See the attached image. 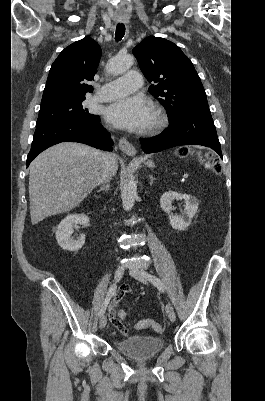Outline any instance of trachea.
I'll use <instances>...</instances> for the list:
<instances>
[{"instance_id":"obj_1","label":"trachea","mask_w":265,"mask_h":401,"mask_svg":"<svg viewBox=\"0 0 265 401\" xmlns=\"http://www.w3.org/2000/svg\"><path fill=\"white\" fill-rule=\"evenodd\" d=\"M125 34V26L123 23H118L115 32V40L120 41Z\"/></svg>"}]
</instances>
